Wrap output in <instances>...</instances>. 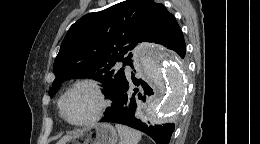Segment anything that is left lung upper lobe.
<instances>
[{
    "mask_svg": "<svg viewBox=\"0 0 260 144\" xmlns=\"http://www.w3.org/2000/svg\"><path fill=\"white\" fill-rule=\"evenodd\" d=\"M175 17L163 4L153 0H126L103 11L87 14L74 23L61 43L54 61L55 80L49 95L71 78L102 82L111 100L125 78L116 62L132 66L130 51L140 42L165 46L179 32Z\"/></svg>",
    "mask_w": 260,
    "mask_h": 144,
    "instance_id": "obj_1",
    "label": "left lung upper lobe"
}]
</instances>
